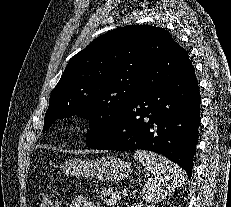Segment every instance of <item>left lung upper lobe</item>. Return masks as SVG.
Returning <instances> with one entry per match:
<instances>
[{"label": "left lung upper lobe", "instance_id": "obj_1", "mask_svg": "<svg viewBox=\"0 0 231 207\" xmlns=\"http://www.w3.org/2000/svg\"><path fill=\"white\" fill-rule=\"evenodd\" d=\"M174 43L165 29L146 25L96 38L70 59L50 95L42 131L59 118L78 115L91 121L88 148L97 145L139 96L143 75Z\"/></svg>", "mask_w": 231, "mask_h": 207}]
</instances>
